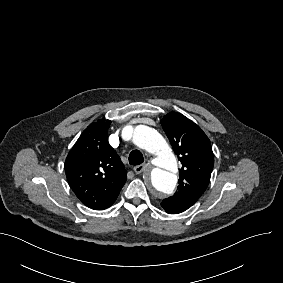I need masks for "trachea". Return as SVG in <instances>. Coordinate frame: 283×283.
<instances>
[{"mask_svg":"<svg viewBox=\"0 0 283 283\" xmlns=\"http://www.w3.org/2000/svg\"><path fill=\"white\" fill-rule=\"evenodd\" d=\"M128 160L130 165L137 166L144 162V157L139 150H133L130 152Z\"/></svg>","mask_w":283,"mask_h":283,"instance_id":"3493384b","label":"trachea"}]
</instances>
